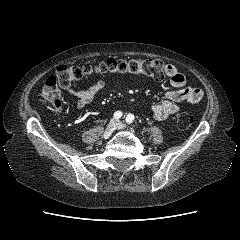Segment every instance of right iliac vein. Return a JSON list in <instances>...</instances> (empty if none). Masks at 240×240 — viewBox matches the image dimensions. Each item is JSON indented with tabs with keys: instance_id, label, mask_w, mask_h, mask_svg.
I'll use <instances>...</instances> for the list:
<instances>
[{
	"instance_id": "63e3f726",
	"label": "right iliac vein",
	"mask_w": 240,
	"mask_h": 240,
	"mask_svg": "<svg viewBox=\"0 0 240 240\" xmlns=\"http://www.w3.org/2000/svg\"><path fill=\"white\" fill-rule=\"evenodd\" d=\"M116 128H117V120L112 119L107 125L103 133V138L105 139L109 138Z\"/></svg>"
}]
</instances>
